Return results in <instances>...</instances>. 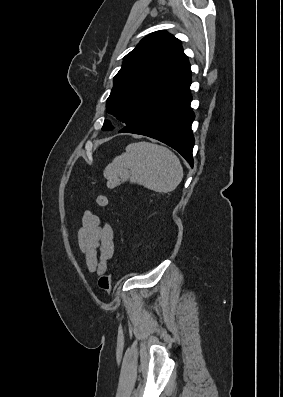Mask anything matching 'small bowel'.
<instances>
[{
	"label": "small bowel",
	"mask_w": 283,
	"mask_h": 397,
	"mask_svg": "<svg viewBox=\"0 0 283 397\" xmlns=\"http://www.w3.org/2000/svg\"><path fill=\"white\" fill-rule=\"evenodd\" d=\"M78 245L90 272L104 274L115 251L112 226L91 211H85L78 230Z\"/></svg>",
	"instance_id": "c3829d8e"
}]
</instances>
